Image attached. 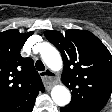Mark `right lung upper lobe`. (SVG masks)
<instances>
[{
  "label": "right lung upper lobe",
  "instance_id": "right-lung-upper-lobe-1",
  "mask_svg": "<svg viewBox=\"0 0 112 112\" xmlns=\"http://www.w3.org/2000/svg\"><path fill=\"white\" fill-rule=\"evenodd\" d=\"M33 32L7 30L0 33V112H31L39 92H44L31 58L20 51Z\"/></svg>",
  "mask_w": 112,
  "mask_h": 112
}]
</instances>
